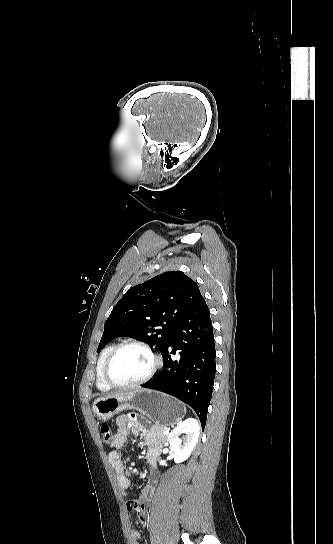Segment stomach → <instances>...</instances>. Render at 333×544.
Segmentation results:
<instances>
[{
	"label": "stomach",
	"mask_w": 333,
	"mask_h": 544,
	"mask_svg": "<svg viewBox=\"0 0 333 544\" xmlns=\"http://www.w3.org/2000/svg\"><path fill=\"white\" fill-rule=\"evenodd\" d=\"M125 410H137L150 418L155 426L169 427L176 424L184 414L178 400L146 389L98 398L93 402V412L100 421H107Z\"/></svg>",
	"instance_id": "0dacf381"
}]
</instances>
